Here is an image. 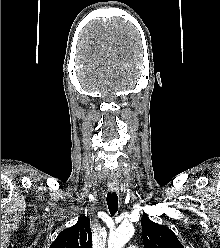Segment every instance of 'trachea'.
I'll list each match as a JSON object with an SVG mask.
<instances>
[{"mask_svg": "<svg viewBox=\"0 0 220 248\" xmlns=\"http://www.w3.org/2000/svg\"><path fill=\"white\" fill-rule=\"evenodd\" d=\"M107 205L111 215L116 214L118 211V196L115 192H108L107 194Z\"/></svg>", "mask_w": 220, "mask_h": 248, "instance_id": "obj_1", "label": "trachea"}]
</instances>
